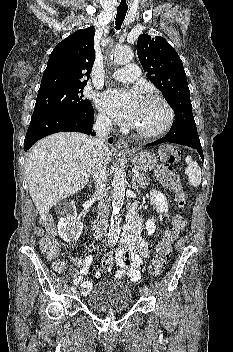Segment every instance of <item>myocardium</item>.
<instances>
[{
  "label": "myocardium",
  "mask_w": 233,
  "mask_h": 352,
  "mask_svg": "<svg viewBox=\"0 0 233 352\" xmlns=\"http://www.w3.org/2000/svg\"><path fill=\"white\" fill-rule=\"evenodd\" d=\"M144 100H155L162 104L166 110V119L164 123L157 129L151 131H145L135 128V132L143 138H156L164 134L172 125L174 121V110L169 102L161 95L156 93L148 94L144 97Z\"/></svg>",
  "instance_id": "obj_1"
}]
</instances>
